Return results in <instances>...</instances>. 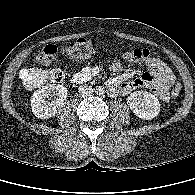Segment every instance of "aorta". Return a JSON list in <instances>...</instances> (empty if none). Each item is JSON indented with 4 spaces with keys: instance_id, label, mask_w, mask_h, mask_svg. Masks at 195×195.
Returning a JSON list of instances; mask_svg holds the SVG:
<instances>
[{
    "instance_id": "aorta-1",
    "label": "aorta",
    "mask_w": 195,
    "mask_h": 195,
    "mask_svg": "<svg viewBox=\"0 0 195 195\" xmlns=\"http://www.w3.org/2000/svg\"><path fill=\"white\" fill-rule=\"evenodd\" d=\"M95 92L97 93V95L101 96V95L104 94V89H103V87L98 86V87L96 88Z\"/></svg>"
}]
</instances>
